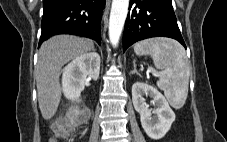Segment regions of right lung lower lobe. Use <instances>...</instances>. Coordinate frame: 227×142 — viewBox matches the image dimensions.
Returning a JSON list of instances; mask_svg holds the SVG:
<instances>
[{
  "instance_id": "98d812e1",
  "label": "right lung lower lobe",
  "mask_w": 227,
  "mask_h": 142,
  "mask_svg": "<svg viewBox=\"0 0 227 142\" xmlns=\"http://www.w3.org/2000/svg\"><path fill=\"white\" fill-rule=\"evenodd\" d=\"M106 0H44L39 45L57 34L88 37L101 43L100 22Z\"/></svg>"
}]
</instances>
